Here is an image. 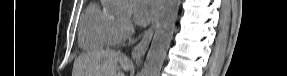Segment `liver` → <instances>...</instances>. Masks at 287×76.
<instances>
[{
  "label": "liver",
  "instance_id": "1",
  "mask_svg": "<svg viewBox=\"0 0 287 76\" xmlns=\"http://www.w3.org/2000/svg\"><path fill=\"white\" fill-rule=\"evenodd\" d=\"M118 65L126 72L132 67L128 57L117 51L101 50L84 54L75 59L73 76H119Z\"/></svg>",
  "mask_w": 287,
  "mask_h": 76
}]
</instances>
